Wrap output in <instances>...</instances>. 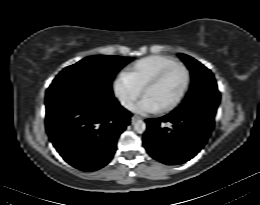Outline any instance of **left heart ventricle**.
<instances>
[{"instance_id":"b2bd125f","label":"left heart ventricle","mask_w":260,"mask_h":205,"mask_svg":"<svg viewBox=\"0 0 260 205\" xmlns=\"http://www.w3.org/2000/svg\"><path fill=\"white\" fill-rule=\"evenodd\" d=\"M185 81V72L181 68H175L167 73L145 96L161 108L171 103L180 94Z\"/></svg>"}]
</instances>
